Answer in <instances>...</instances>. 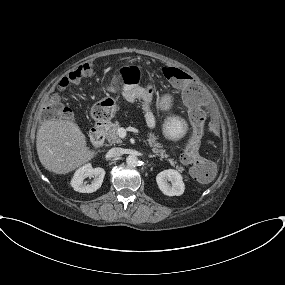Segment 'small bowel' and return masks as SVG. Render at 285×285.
<instances>
[{
    "label": "small bowel",
    "mask_w": 285,
    "mask_h": 285,
    "mask_svg": "<svg viewBox=\"0 0 285 285\" xmlns=\"http://www.w3.org/2000/svg\"><path fill=\"white\" fill-rule=\"evenodd\" d=\"M123 94H124L125 99L130 103H133L136 100L147 101L150 98L146 90L138 88L133 84H129L125 86L123 88ZM145 117H146V123H147L148 128H153L155 124L153 115L150 112H147L145 114ZM212 176H213V173L208 177L207 181L211 180Z\"/></svg>",
    "instance_id": "1"
}]
</instances>
